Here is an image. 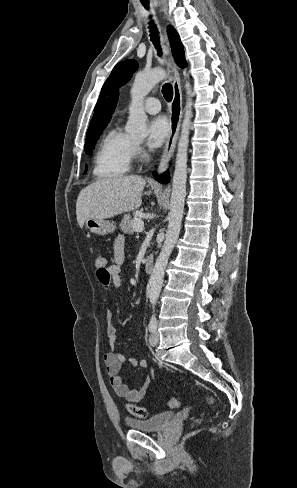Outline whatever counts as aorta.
Instances as JSON below:
<instances>
[{"instance_id": "762f6f07", "label": "aorta", "mask_w": 297, "mask_h": 488, "mask_svg": "<svg viewBox=\"0 0 297 488\" xmlns=\"http://www.w3.org/2000/svg\"><path fill=\"white\" fill-rule=\"evenodd\" d=\"M167 72L162 68H154L149 72H139L131 89V103L129 105V120L125 130L134 136H145L147 131V115L144 112V97L160 81L165 79ZM188 99L182 122L181 135L178 142L175 171L172 181L170 213L168 215V230L161 252L156 260L148 283V295L152 305H155L161 292L165 269L170 254L176 244L181 229V221L186 197L187 179V150L189 131L192 117V90L189 83L185 84Z\"/></svg>"}]
</instances>
